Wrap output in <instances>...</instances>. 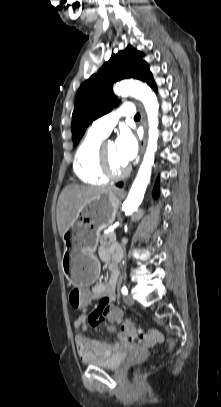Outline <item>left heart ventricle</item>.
<instances>
[{"label": "left heart ventricle", "instance_id": "1", "mask_svg": "<svg viewBox=\"0 0 221 407\" xmlns=\"http://www.w3.org/2000/svg\"><path fill=\"white\" fill-rule=\"evenodd\" d=\"M106 153H107L110 165L115 171L122 170L126 166L117 156L115 143L109 142L106 144Z\"/></svg>", "mask_w": 221, "mask_h": 407}]
</instances>
